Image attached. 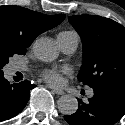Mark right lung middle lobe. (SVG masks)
<instances>
[{
	"instance_id": "obj_1",
	"label": "right lung middle lobe",
	"mask_w": 125,
	"mask_h": 125,
	"mask_svg": "<svg viewBox=\"0 0 125 125\" xmlns=\"http://www.w3.org/2000/svg\"><path fill=\"white\" fill-rule=\"evenodd\" d=\"M15 54H25V52L17 53L12 51H0V75H3V67L9 62V58Z\"/></svg>"
}]
</instances>
